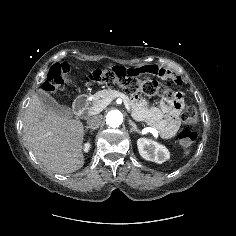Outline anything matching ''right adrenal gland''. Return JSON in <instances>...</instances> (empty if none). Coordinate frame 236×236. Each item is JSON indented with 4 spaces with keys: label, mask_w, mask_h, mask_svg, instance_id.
Masks as SVG:
<instances>
[{
    "label": "right adrenal gland",
    "mask_w": 236,
    "mask_h": 236,
    "mask_svg": "<svg viewBox=\"0 0 236 236\" xmlns=\"http://www.w3.org/2000/svg\"><path fill=\"white\" fill-rule=\"evenodd\" d=\"M95 129H96L95 127L86 126V127H85V132H87L88 130H90V133H92Z\"/></svg>",
    "instance_id": "right-adrenal-gland-1"
}]
</instances>
